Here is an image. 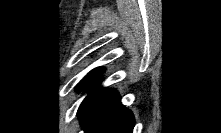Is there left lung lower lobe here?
<instances>
[{"mask_svg":"<svg viewBox=\"0 0 221 133\" xmlns=\"http://www.w3.org/2000/svg\"><path fill=\"white\" fill-rule=\"evenodd\" d=\"M94 80L88 88L94 90L78 109V117L85 133H132L134 117L124 108L115 90H105Z\"/></svg>","mask_w":221,"mask_h":133,"instance_id":"0a47b994","label":"left lung lower lobe"}]
</instances>
